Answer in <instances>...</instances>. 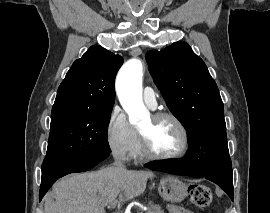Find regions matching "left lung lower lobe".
<instances>
[{
    "label": "left lung lower lobe",
    "instance_id": "left-lung-lower-lobe-1",
    "mask_svg": "<svg viewBox=\"0 0 270 213\" xmlns=\"http://www.w3.org/2000/svg\"><path fill=\"white\" fill-rule=\"evenodd\" d=\"M152 170L167 172L177 175L192 177H205L206 179L219 185L233 201V177L230 172H212L204 175L201 167L197 164L194 154L189 145V150L182 160H176L163 164H156L149 167Z\"/></svg>",
    "mask_w": 270,
    "mask_h": 213
}]
</instances>
